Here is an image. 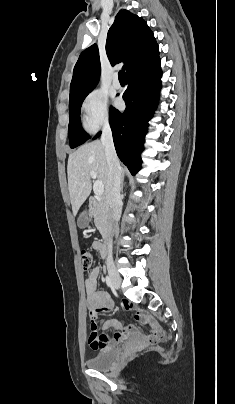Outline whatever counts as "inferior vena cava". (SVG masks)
<instances>
[{
    "mask_svg": "<svg viewBox=\"0 0 235 404\" xmlns=\"http://www.w3.org/2000/svg\"><path fill=\"white\" fill-rule=\"evenodd\" d=\"M101 143L104 147L106 160L109 168L108 185L106 189L107 203L111 208L114 221H118L121 216L122 201L121 191V167L117 157L112 131L108 123L103 126ZM109 254H112V240L108 243Z\"/></svg>",
    "mask_w": 235,
    "mask_h": 404,
    "instance_id": "602c4592",
    "label": "inferior vena cava"
}]
</instances>
